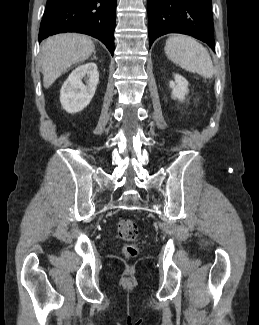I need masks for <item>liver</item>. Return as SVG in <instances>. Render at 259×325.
Here are the masks:
<instances>
[{"mask_svg":"<svg viewBox=\"0 0 259 325\" xmlns=\"http://www.w3.org/2000/svg\"><path fill=\"white\" fill-rule=\"evenodd\" d=\"M93 41L76 33L49 37L41 47L43 85L49 88L71 65L83 62L94 52Z\"/></svg>","mask_w":259,"mask_h":325,"instance_id":"6515ba94","label":"liver"}]
</instances>
